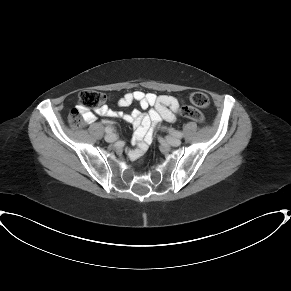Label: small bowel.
Segmentation results:
<instances>
[{
	"label": "small bowel",
	"mask_w": 291,
	"mask_h": 291,
	"mask_svg": "<svg viewBox=\"0 0 291 291\" xmlns=\"http://www.w3.org/2000/svg\"><path fill=\"white\" fill-rule=\"evenodd\" d=\"M133 102H137L143 110L148 109V112L143 114L140 110L135 109L130 113H123L114 111L108 106H102L96 110V113L102 116L121 118L136 129L133 140L138 144V148L128 152V156L135 159L147 149L149 142L152 140L155 125L160 123L162 119L175 120V112L179 109L181 102L175 96H157L153 93L136 90L124 94L119 99L118 105L126 107ZM78 108L79 106H76V109ZM82 115L88 123L96 121L95 115L89 110L84 109ZM107 123L113 124L112 121H107Z\"/></svg>",
	"instance_id": "1"
}]
</instances>
